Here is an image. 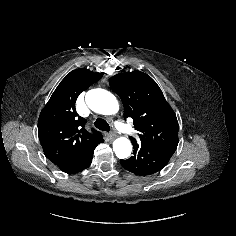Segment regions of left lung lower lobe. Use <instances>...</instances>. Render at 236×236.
Listing matches in <instances>:
<instances>
[{
  "label": "left lung lower lobe",
  "instance_id": "left-lung-lower-lobe-1",
  "mask_svg": "<svg viewBox=\"0 0 236 236\" xmlns=\"http://www.w3.org/2000/svg\"><path fill=\"white\" fill-rule=\"evenodd\" d=\"M133 156L120 160L121 165L138 176H148L163 169L177 149L178 143H140L132 141Z\"/></svg>",
  "mask_w": 236,
  "mask_h": 236
}]
</instances>
